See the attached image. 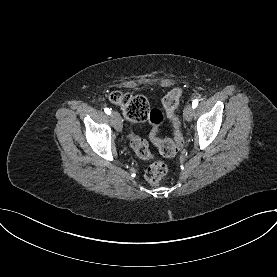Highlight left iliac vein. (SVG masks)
Returning <instances> with one entry per match:
<instances>
[{"label": "left iliac vein", "mask_w": 277, "mask_h": 277, "mask_svg": "<svg viewBox=\"0 0 277 277\" xmlns=\"http://www.w3.org/2000/svg\"><path fill=\"white\" fill-rule=\"evenodd\" d=\"M192 117H193V107L190 104H188L184 109V119L187 122H190L192 120Z\"/></svg>", "instance_id": "4c4485c4"}]
</instances>
